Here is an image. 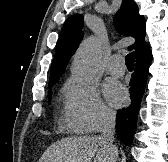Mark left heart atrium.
Listing matches in <instances>:
<instances>
[{"instance_id": "left-heart-atrium-1", "label": "left heart atrium", "mask_w": 168, "mask_h": 162, "mask_svg": "<svg viewBox=\"0 0 168 162\" xmlns=\"http://www.w3.org/2000/svg\"><path fill=\"white\" fill-rule=\"evenodd\" d=\"M105 95L108 101L116 107L121 106L127 99L125 88L116 82H109L105 86Z\"/></svg>"}]
</instances>
